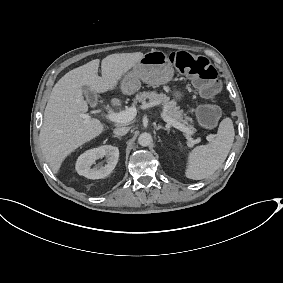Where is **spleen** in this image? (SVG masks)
Wrapping results in <instances>:
<instances>
[{
    "mask_svg": "<svg viewBox=\"0 0 283 283\" xmlns=\"http://www.w3.org/2000/svg\"><path fill=\"white\" fill-rule=\"evenodd\" d=\"M233 121L225 117L217 134L206 146H197L187 153L185 176L200 180L212 175L225 161L234 141Z\"/></svg>",
    "mask_w": 283,
    "mask_h": 283,
    "instance_id": "3e777b00",
    "label": "spleen"
}]
</instances>
